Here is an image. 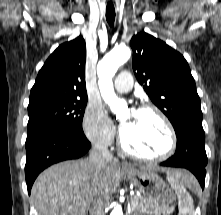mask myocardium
Listing matches in <instances>:
<instances>
[{"mask_svg": "<svg viewBox=\"0 0 221 215\" xmlns=\"http://www.w3.org/2000/svg\"><path fill=\"white\" fill-rule=\"evenodd\" d=\"M137 111L152 112L162 121L168 134V140H169L168 147L165 152L157 156L142 155L128 148L123 138L122 132H120L119 140H120V147L122 151L132 158L142 160V161H147V162H161L171 157L174 154L176 147H177V136H176L175 129L171 121L167 117V115L160 108L154 105H149V104L140 106Z\"/></svg>", "mask_w": 221, "mask_h": 215, "instance_id": "1", "label": "myocardium"}]
</instances>
